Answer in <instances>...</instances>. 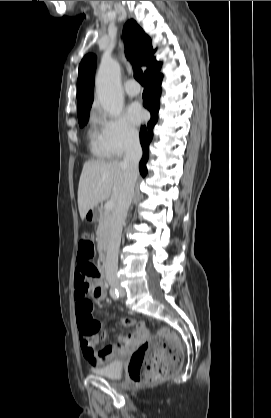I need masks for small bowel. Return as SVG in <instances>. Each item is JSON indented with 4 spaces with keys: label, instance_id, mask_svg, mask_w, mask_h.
Listing matches in <instances>:
<instances>
[{
    "label": "small bowel",
    "instance_id": "obj_1",
    "mask_svg": "<svg viewBox=\"0 0 271 418\" xmlns=\"http://www.w3.org/2000/svg\"><path fill=\"white\" fill-rule=\"evenodd\" d=\"M73 289L76 302L73 312L77 314L76 322L80 332L81 349L84 357L93 366L100 367L114 358L124 355L131 346H135L139 342L144 326L136 323L133 318L125 317L121 320V324L125 327L135 326L134 335H119L117 344L106 345L100 350L96 349L103 336L98 333L102 321L98 319L97 314H93L95 305L93 298L98 302L103 301L106 298V290L102 281V269L94 266V262H76Z\"/></svg>",
    "mask_w": 271,
    "mask_h": 418
}]
</instances>
